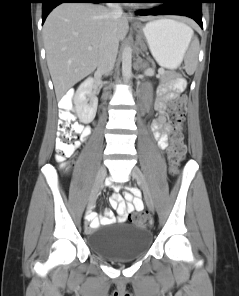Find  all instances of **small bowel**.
<instances>
[{
	"label": "small bowel",
	"mask_w": 239,
	"mask_h": 296,
	"mask_svg": "<svg viewBox=\"0 0 239 296\" xmlns=\"http://www.w3.org/2000/svg\"><path fill=\"white\" fill-rule=\"evenodd\" d=\"M185 82L178 80L173 84H163L159 86L157 91V98L155 101V109L157 116L152 120L150 129L153 138L157 141L160 149L164 150L168 146V137L171 131V126L167 122L166 109L167 104L178 98L183 91ZM90 134V128L84 127L81 130V138L85 140ZM123 197L114 192L110 200V206L117 211L119 219L126 221L130 215L135 211H140L144 208V203L141 199V193L138 189L130 187L123 193ZM90 222L89 231L94 230L100 224L105 225L115 221L112 212H106L103 216H98L96 213H91L88 217Z\"/></svg>",
	"instance_id": "c3829d8e"
}]
</instances>
